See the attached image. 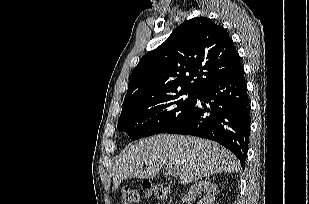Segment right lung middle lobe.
Here are the masks:
<instances>
[{
	"mask_svg": "<svg viewBox=\"0 0 309 204\" xmlns=\"http://www.w3.org/2000/svg\"><path fill=\"white\" fill-rule=\"evenodd\" d=\"M182 95L188 96L183 99ZM197 95L181 91L125 102L118 130L126 132L131 140L165 133L193 108Z\"/></svg>",
	"mask_w": 309,
	"mask_h": 204,
	"instance_id": "1",
	"label": "right lung middle lobe"
}]
</instances>
